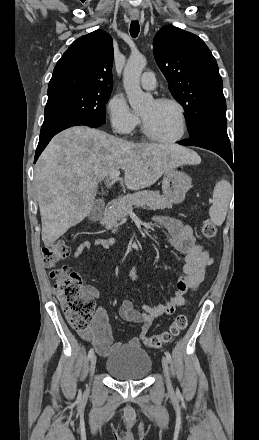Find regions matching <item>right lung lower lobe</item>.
Returning <instances> with one entry per match:
<instances>
[{
	"mask_svg": "<svg viewBox=\"0 0 259 440\" xmlns=\"http://www.w3.org/2000/svg\"><path fill=\"white\" fill-rule=\"evenodd\" d=\"M85 125L89 127H100L102 124L84 119V118H64L61 120L53 121L50 123L43 124L41 127L39 143L35 153L34 163L37 161L41 152L45 149L49 141L55 136L57 133L61 132L64 129H67L72 126Z\"/></svg>",
	"mask_w": 259,
	"mask_h": 440,
	"instance_id": "obj_1",
	"label": "right lung lower lobe"
}]
</instances>
